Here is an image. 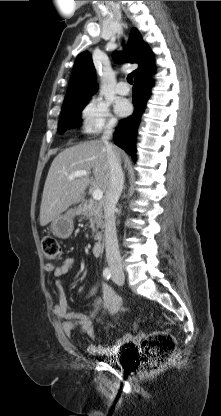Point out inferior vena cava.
<instances>
[{"mask_svg":"<svg viewBox=\"0 0 221 416\" xmlns=\"http://www.w3.org/2000/svg\"><path fill=\"white\" fill-rule=\"evenodd\" d=\"M114 126L115 122L111 121L105 128L101 137V141L106 147L107 160L110 168L109 186L105 194L104 203V241L109 269L111 272H122L121 256L115 225V209L123 189L124 175L119 156L115 151L114 146L109 142L114 132Z\"/></svg>","mask_w":221,"mask_h":416,"instance_id":"602c4592","label":"inferior vena cava"}]
</instances>
